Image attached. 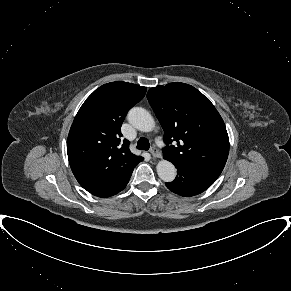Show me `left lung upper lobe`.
Wrapping results in <instances>:
<instances>
[{"label": "left lung upper lobe", "mask_w": 291, "mask_h": 291, "mask_svg": "<svg viewBox=\"0 0 291 291\" xmlns=\"http://www.w3.org/2000/svg\"><path fill=\"white\" fill-rule=\"evenodd\" d=\"M147 98L164 130L166 160L223 170L229 138L223 119L206 96L177 82L151 88Z\"/></svg>", "instance_id": "5c2ea615"}]
</instances>
